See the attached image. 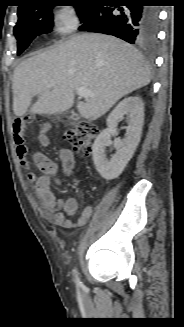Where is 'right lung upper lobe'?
Instances as JSON below:
<instances>
[{"instance_id": "1", "label": "right lung upper lobe", "mask_w": 184, "mask_h": 327, "mask_svg": "<svg viewBox=\"0 0 184 327\" xmlns=\"http://www.w3.org/2000/svg\"><path fill=\"white\" fill-rule=\"evenodd\" d=\"M41 1H43V0H21L20 1L21 5L19 6L18 11L23 10V9H25V8L33 5V4L41 2Z\"/></svg>"}]
</instances>
